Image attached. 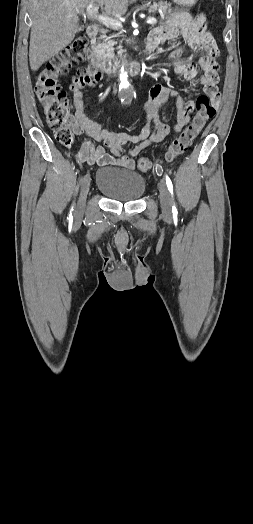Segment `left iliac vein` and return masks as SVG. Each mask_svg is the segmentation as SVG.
<instances>
[{
    "instance_id": "1",
    "label": "left iliac vein",
    "mask_w": 253,
    "mask_h": 524,
    "mask_svg": "<svg viewBox=\"0 0 253 524\" xmlns=\"http://www.w3.org/2000/svg\"><path fill=\"white\" fill-rule=\"evenodd\" d=\"M159 192H160V203H161L162 212L165 215L169 216L172 211V203H171L170 194L168 192V189H167V186L164 180H161L159 182Z\"/></svg>"
}]
</instances>
